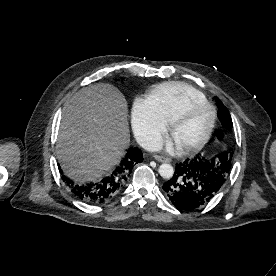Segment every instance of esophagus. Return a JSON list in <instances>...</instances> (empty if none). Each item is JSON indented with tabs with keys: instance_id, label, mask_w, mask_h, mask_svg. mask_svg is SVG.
<instances>
[{
	"instance_id": "1",
	"label": "esophagus",
	"mask_w": 276,
	"mask_h": 276,
	"mask_svg": "<svg viewBox=\"0 0 276 276\" xmlns=\"http://www.w3.org/2000/svg\"><path fill=\"white\" fill-rule=\"evenodd\" d=\"M154 158L160 162H170L171 160L167 157L159 156V155H154Z\"/></svg>"
}]
</instances>
